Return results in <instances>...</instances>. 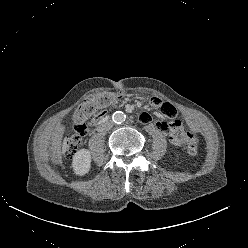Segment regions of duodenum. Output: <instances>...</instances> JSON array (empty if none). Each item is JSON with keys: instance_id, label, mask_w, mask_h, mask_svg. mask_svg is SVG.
I'll use <instances>...</instances> for the list:
<instances>
[{"instance_id": "410a0bca", "label": "duodenum", "mask_w": 248, "mask_h": 248, "mask_svg": "<svg viewBox=\"0 0 248 248\" xmlns=\"http://www.w3.org/2000/svg\"><path fill=\"white\" fill-rule=\"evenodd\" d=\"M104 121V118L100 119L99 123L103 122Z\"/></svg>"}]
</instances>
